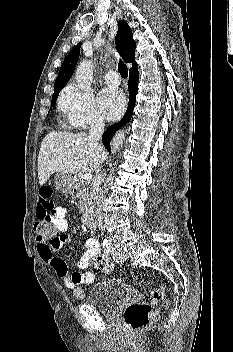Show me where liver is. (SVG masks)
Returning a JSON list of instances; mask_svg holds the SVG:
<instances>
[{
  "label": "liver",
  "instance_id": "obj_1",
  "mask_svg": "<svg viewBox=\"0 0 233 352\" xmlns=\"http://www.w3.org/2000/svg\"><path fill=\"white\" fill-rule=\"evenodd\" d=\"M105 157L103 146L90 141L85 133L52 131L43 139L39 151V184L44 185L55 172L69 175L94 172Z\"/></svg>",
  "mask_w": 233,
  "mask_h": 352
}]
</instances>
